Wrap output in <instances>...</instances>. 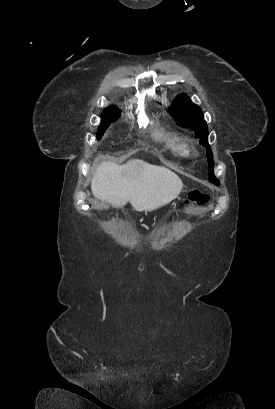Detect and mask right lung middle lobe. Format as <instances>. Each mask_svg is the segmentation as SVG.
<instances>
[{
	"label": "right lung middle lobe",
	"mask_w": 275,
	"mask_h": 409,
	"mask_svg": "<svg viewBox=\"0 0 275 409\" xmlns=\"http://www.w3.org/2000/svg\"><path fill=\"white\" fill-rule=\"evenodd\" d=\"M120 114L118 112H104L101 116V124L97 132V140H100L110 123L116 121Z\"/></svg>",
	"instance_id": "obj_1"
}]
</instances>
